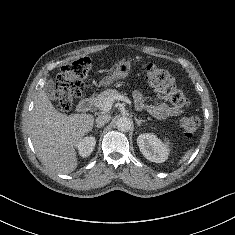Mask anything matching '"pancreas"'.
I'll list each match as a JSON object with an SVG mask.
<instances>
[{
	"instance_id": "cf45deb5",
	"label": "pancreas",
	"mask_w": 235,
	"mask_h": 235,
	"mask_svg": "<svg viewBox=\"0 0 235 235\" xmlns=\"http://www.w3.org/2000/svg\"><path fill=\"white\" fill-rule=\"evenodd\" d=\"M120 95L121 94L117 90H115V89H107V90L101 92L100 94H98L94 98V105L101 109L103 102L107 98H116L117 96H120Z\"/></svg>"
}]
</instances>
